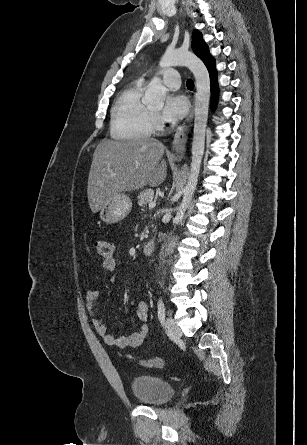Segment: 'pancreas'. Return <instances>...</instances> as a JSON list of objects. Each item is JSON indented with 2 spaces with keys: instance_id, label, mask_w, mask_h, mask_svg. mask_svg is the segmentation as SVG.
<instances>
[{
  "instance_id": "1",
  "label": "pancreas",
  "mask_w": 307,
  "mask_h": 445,
  "mask_svg": "<svg viewBox=\"0 0 307 445\" xmlns=\"http://www.w3.org/2000/svg\"><path fill=\"white\" fill-rule=\"evenodd\" d=\"M153 196L154 190H152V188H146L144 192H140V194L137 196L139 206H145L147 202H152Z\"/></svg>"
}]
</instances>
